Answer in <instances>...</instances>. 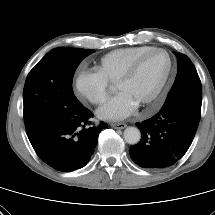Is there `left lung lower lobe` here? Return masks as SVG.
<instances>
[{
	"label": "left lung lower lobe",
	"instance_id": "1",
	"mask_svg": "<svg viewBox=\"0 0 215 215\" xmlns=\"http://www.w3.org/2000/svg\"><path fill=\"white\" fill-rule=\"evenodd\" d=\"M201 107L182 98L166 100L153 117L136 123L141 140L129 149L132 160L143 168L161 169L184 156L195 136Z\"/></svg>",
	"mask_w": 215,
	"mask_h": 215
}]
</instances>
